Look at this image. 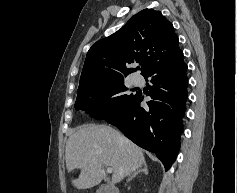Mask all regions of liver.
<instances>
[{
  "instance_id": "liver-1",
  "label": "liver",
  "mask_w": 237,
  "mask_h": 193,
  "mask_svg": "<svg viewBox=\"0 0 237 193\" xmlns=\"http://www.w3.org/2000/svg\"><path fill=\"white\" fill-rule=\"evenodd\" d=\"M68 173L80 169V175L72 180L73 187L87 189L103 179V165L113 170L112 183L145 164L142 150L114 128L100 124H84L68 138L65 151Z\"/></svg>"
}]
</instances>
